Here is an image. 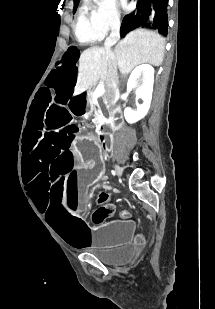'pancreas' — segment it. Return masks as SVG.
<instances>
[{
    "mask_svg": "<svg viewBox=\"0 0 215 309\" xmlns=\"http://www.w3.org/2000/svg\"><path fill=\"white\" fill-rule=\"evenodd\" d=\"M95 94H93V88L92 90H88L87 92V98H89L90 106H91V112H93L95 116V124L96 126H99L102 122V118H105L101 108H95L96 104H94V98Z\"/></svg>",
    "mask_w": 215,
    "mask_h": 309,
    "instance_id": "1",
    "label": "pancreas"
}]
</instances>
